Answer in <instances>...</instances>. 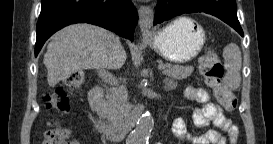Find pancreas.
I'll list each match as a JSON object with an SVG mask.
<instances>
[{"label": "pancreas", "mask_w": 273, "mask_h": 144, "mask_svg": "<svg viewBox=\"0 0 273 144\" xmlns=\"http://www.w3.org/2000/svg\"><path fill=\"white\" fill-rule=\"evenodd\" d=\"M164 74L174 80L185 79L192 74V66H180L165 63ZM106 105L104 117L109 121L117 123L128 114L130 105L127 102V91L123 86L112 87L106 91Z\"/></svg>", "instance_id": "obj_1"}]
</instances>
